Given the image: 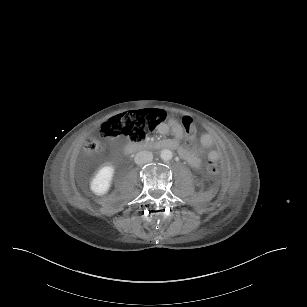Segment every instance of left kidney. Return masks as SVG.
<instances>
[{"label": "left kidney", "mask_w": 307, "mask_h": 307, "mask_svg": "<svg viewBox=\"0 0 307 307\" xmlns=\"http://www.w3.org/2000/svg\"><path fill=\"white\" fill-rule=\"evenodd\" d=\"M200 185V182L196 181V186L199 187Z\"/></svg>", "instance_id": "left-kidney-1"}]
</instances>
